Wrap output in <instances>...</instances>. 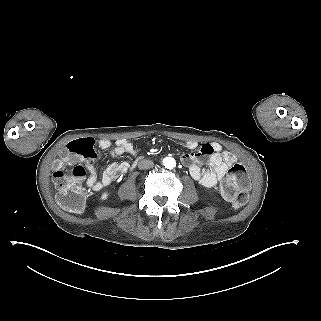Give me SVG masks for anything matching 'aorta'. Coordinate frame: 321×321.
I'll return each mask as SVG.
<instances>
[{
  "label": "aorta",
  "mask_w": 321,
  "mask_h": 321,
  "mask_svg": "<svg viewBox=\"0 0 321 321\" xmlns=\"http://www.w3.org/2000/svg\"><path fill=\"white\" fill-rule=\"evenodd\" d=\"M163 165L165 166V168L172 169L176 166V161L172 157H166L163 160Z\"/></svg>",
  "instance_id": "obj_1"
}]
</instances>
